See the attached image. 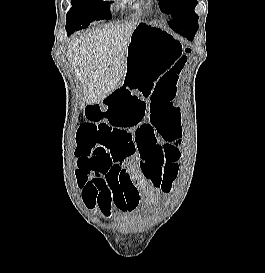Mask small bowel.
<instances>
[{
    "mask_svg": "<svg viewBox=\"0 0 265 273\" xmlns=\"http://www.w3.org/2000/svg\"><path fill=\"white\" fill-rule=\"evenodd\" d=\"M145 103L142 95H132V91H113L102 104L87 103L91 109L85 119L96 124H76V129H110L112 133L105 152L108 167L103 172L91 171L89 181L95 192L86 193L85 198L89 209L97 207L106 218L114 216V209L121 213L136 210L141 203L138 188L147 192L150 201L151 187H156L152 173L162 170L165 142L149 127V121L142 122Z\"/></svg>",
    "mask_w": 265,
    "mask_h": 273,
    "instance_id": "c3829d8e",
    "label": "small bowel"
}]
</instances>
